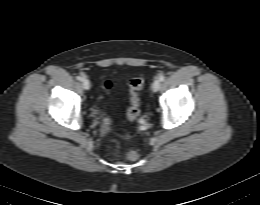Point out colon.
<instances>
[{
    "instance_id": "obj_1",
    "label": "colon",
    "mask_w": 260,
    "mask_h": 205,
    "mask_svg": "<svg viewBox=\"0 0 260 205\" xmlns=\"http://www.w3.org/2000/svg\"><path fill=\"white\" fill-rule=\"evenodd\" d=\"M145 79L143 77H134L129 81V108L127 110V119L129 121L135 120L140 113V99H139V91L144 86ZM103 87L105 89H110L112 87V82L106 80L103 83ZM126 157L129 160H137L139 155L136 151L129 150L126 152Z\"/></svg>"
}]
</instances>
